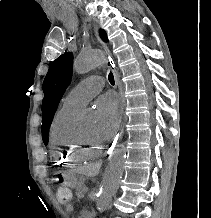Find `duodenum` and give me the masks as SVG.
Wrapping results in <instances>:
<instances>
[{"label": "duodenum", "instance_id": "obj_1", "mask_svg": "<svg viewBox=\"0 0 211 218\" xmlns=\"http://www.w3.org/2000/svg\"><path fill=\"white\" fill-rule=\"evenodd\" d=\"M80 216H81V218H93L92 213L86 209H84L80 212Z\"/></svg>", "mask_w": 211, "mask_h": 218}]
</instances>
